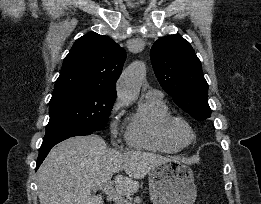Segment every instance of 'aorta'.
Returning a JSON list of instances; mask_svg holds the SVG:
<instances>
[{"label": "aorta", "instance_id": "1", "mask_svg": "<svg viewBox=\"0 0 261 204\" xmlns=\"http://www.w3.org/2000/svg\"><path fill=\"white\" fill-rule=\"evenodd\" d=\"M145 71V64L136 61L122 72L117 87L119 98L128 102H133L138 98Z\"/></svg>", "mask_w": 261, "mask_h": 204}]
</instances>
